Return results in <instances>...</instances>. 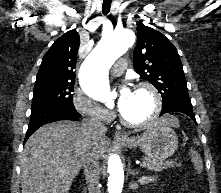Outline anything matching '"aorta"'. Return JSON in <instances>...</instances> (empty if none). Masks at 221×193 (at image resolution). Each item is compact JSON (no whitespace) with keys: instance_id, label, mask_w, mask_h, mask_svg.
I'll list each match as a JSON object with an SVG mask.
<instances>
[{"instance_id":"1","label":"aorta","mask_w":221,"mask_h":193,"mask_svg":"<svg viewBox=\"0 0 221 193\" xmlns=\"http://www.w3.org/2000/svg\"><path fill=\"white\" fill-rule=\"evenodd\" d=\"M135 42L132 31L116 30L104 36L83 62L79 79L82 90L95 101L107 102L111 100L112 93L107 77L111 65ZM108 193H122L124 171L122 163L116 155L108 160Z\"/></svg>"}]
</instances>
